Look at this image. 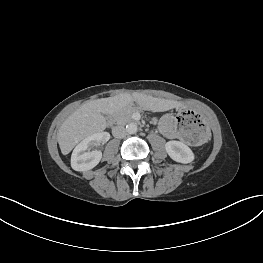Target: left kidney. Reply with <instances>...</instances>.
<instances>
[{"label":"left kidney","mask_w":263,"mask_h":263,"mask_svg":"<svg viewBox=\"0 0 263 263\" xmlns=\"http://www.w3.org/2000/svg\"><path fill=\"white\" fill-rule=\"evenodd\" d=\"M165 149L170 158L176 162L187 164L194 160V154L192 150L186 144L180 141H168L165 144Z\"/></svg>","instance_id":"left-kidney-1"}]
</instances>
